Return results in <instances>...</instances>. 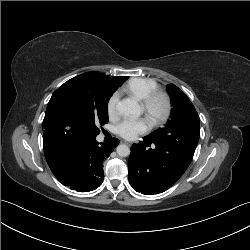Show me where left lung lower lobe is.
<instances>
[{
	"label": "left lung lower lobe",
	"instance_id": "left-lung-lower-lobe-1",
	"mask_svg": "<svg viewBox=\"0 0 250 250\" xmlns=\"http://www.w3.org/2000/svg\"><path fill=\"white\" fill-rule=\"evenodd\" d=\"M199 137V128H194L171 137L146 136L133 144L128 161L130 185L145 195L169 189L191 163Z\"/></svg>",
	"mask_w": 250,
	"mask_h": 250
}]
</instances>
